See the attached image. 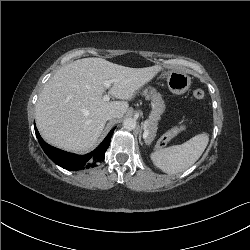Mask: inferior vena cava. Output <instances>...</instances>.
Returning <instances> with one entry per match:
<instances>
[{
    "mask_svg": "<svg viewBox=\"0 0 250 250\" xmlns=\"http://www.w3.org/2000/svg\"><path fill=\"white\" fill-rule=\"evenodd\" d=\"M116 117H117V112L116 111H109L106 114V119L107 120H111V119L116 118Z\"/></svg>",
    "mask_w": 250,
    "mask_h": 250,
    "instance_id": "1",
    "label": "inferior vena cava"
}]
</instances>
